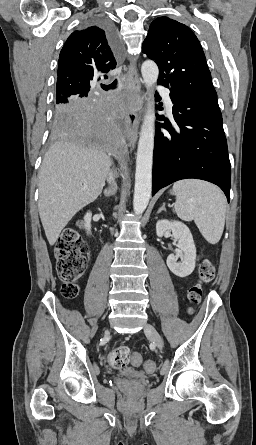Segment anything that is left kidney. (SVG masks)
<instances>
[{
  "label": "left kidney",
  "mask_w": 256,
  "mask_h": 445,
  "mask_svg": "<svg viewBox=\"0 0 256 445\" xmlns=\"http://www.w3.org/2000/svg\"><path fill=\"white\" fill-rule=\"evenodd\" d=\"M172 232L176 241H178L176 255L170 254L167 257V266L176 276L184 278L189 276L196 263V247L189 228L182 222L159 220L156 224V234L158 237ZM180 258L181 262L177 259Z\"/></svg>",
  "instance_id": "obj_1"
}]
</instances>
